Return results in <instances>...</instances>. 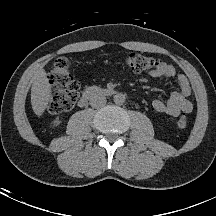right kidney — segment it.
I'll return each mask as SVG.
<instances>
[{"label": "right kidney", "instance_id": "right-kidney-1", "mask_svg": "<svg viewBox=\"0 0 216 216\" xmlns=\"http://www.w3.org/2000/svg\"><path fill=\"white\" fill-rule=\"evenodd\" d=\"M60 123H61V121L58 118L54 121V125L55 126H59Z\"/></svg>", "mask_w": 216, "mask_h": 216}]
</instances>
